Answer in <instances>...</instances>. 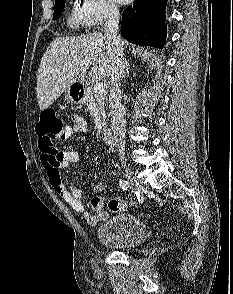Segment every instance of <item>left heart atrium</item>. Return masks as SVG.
I'll return each mask as SVG.
<instances>
[{
	"label": "left heart atrium",
	"instance_id": "1",
	"mask_svg": "<svg viewBox=\"0 0 233 294\" xmlns=\"http://www.w3.org/2000/svg\"><path fill=\"white\" fill-rule=\"evenodd\" d=\"M131 0H115V2L119 3V4H127L129 3Z\"/></svg>",
	"mask_w": 233,
	"mask_h": 294
}]
</instances>
